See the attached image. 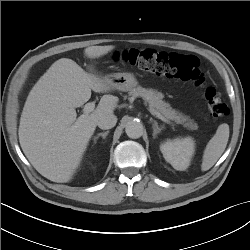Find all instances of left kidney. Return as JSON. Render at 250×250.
Here are the masks:
<instances>
[{"label": "left kidney", "instance_id": "5707ae66", "mask_svg": "<svg viewBox=\"0 0 250 250\" xmlns=\"http://www.w3.org/2000/svg\"><path fill=\"white\" fill-rule=\"evenodd\" d=\"M160 150L165 160L172 167L184 171L190 165L191 158L195 151V144L191 137L175 138L167 140L160 145Z\"/></svg>", "mask_w": 250, "mask_h": 250}]
</instances>
